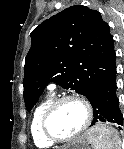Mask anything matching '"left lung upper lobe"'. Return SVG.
I'll use <instances>...</instances> for the list:
<instances>
[{
	"label": "left lung upper lobe",
	"mask_w": 124,
	"mask_h": 149,
	"mask_svg": "<svg viewBox=\"0 0 124 149\" xmlns=\"http://www.w3.org/2000/svg\"><path fill=\"white\" fill-rule=\"evenodd\" d=\"M30 36L23 80L28 110L50 82L86 96L116 69L113 37L96 10L72 6L45 20Z\"/></svg>",
	"instance_id": "1"
}]
</instances>
